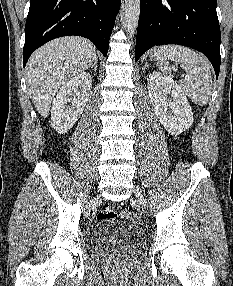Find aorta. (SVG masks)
<instances>
[{
	"label": "aorta",
	"mask_w": 233,
	"mask_h": 286,
	"mask_svg": "<svg viewBox=\"0 0 233 286\" xmlns=\"http://www.w3.org/2000/svg\"><path fill=\"white\" fill-rule=\"evenodd\" d=\"M140 15V0H125V29L129 38L135 34Z\"/></svg>",
	"instance_id": "aorta-1"
}]
</instances>
